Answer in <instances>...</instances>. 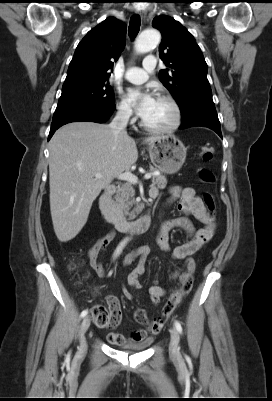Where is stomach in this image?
<instances>
[{
	"instance_id": "0dacf381",
	"label": "stomach",
	"mask_w": 272,
	"mask_h": 401,
	"mask_svg": "<svg viewBox=\"0 0 272 401\" xmlns=\"http://www.w3.org/2000/svg\"><path fill=\"white\" fill-rule=\"evenodd\" d=\"M151 162L162 172L176 173L186 159L187 149L175 135H164L149 144Z\"/></svg>"
}]
</instances>
